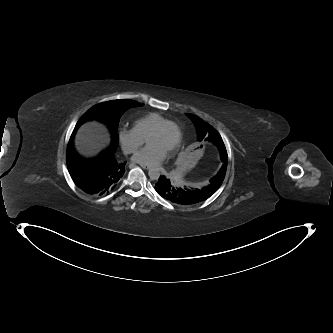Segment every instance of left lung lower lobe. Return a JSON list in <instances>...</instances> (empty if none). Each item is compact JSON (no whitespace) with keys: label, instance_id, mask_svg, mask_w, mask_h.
Here are the masks:
<instances>
[{"label":"left lung lower lobe","instance_id":"1","mask_svg":"<svg viewBox=\"0 0 333 333\" xmlns=\"http://www.w3.org/2000/svg\"><path fill=\"white\" fill-rule=\"evenodd\" d=\"M215 145L218 147L221 153L220 147L217 144ZM221 146L222 151H224V145L221 144ZM155 189L166 200L181 205H192L205 201L217 191L212 183L205 187L192 185L179 186L166 176L159 177L158 182L155 185Z\"/></svg>","mask_w":333,"mask_h":333}]
</instances>
